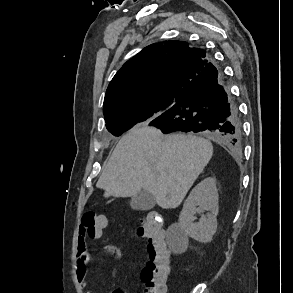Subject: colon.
<instances>
[{
  "mask_svg": "<svg viewBox=\"0 0 293 293\" xmlns=\"http://www.w3.org/2000/svg\"><path fill=\"white\" fill-rule=\"evenodd\" d=\"M162 224V215L157 211H151L140 219L137 227V235L148 241V259L141 271L145 293L166 292L170 266ZM105 226L106 218L103 215L88 211L82 216L81 228L90 238H99Z\"/></svg>",
  "mask_w": 293,
  "mask_h": 293,
  "instance_id": "5ec220e1",
  "label": "colon"
}]
</instances>
